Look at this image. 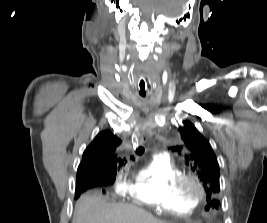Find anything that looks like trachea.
<instances>
[{
    "label": "trachea",
    "instance_id": "obj_1",
    "mask_svg": "<svg viewBox=\"0 0 267 223\" xmlns=\"http://www.w3.org/2000/svg\"><path fill=\"white\" fill-rule=\"evenodd\" d=\"M146 79L144 77H140L137 82V87L140 89L139 94L141 97H145V87H146Z\"/></svg>",
    "mask_w": 267,
    "mask_h": 223
}]
</instances>
